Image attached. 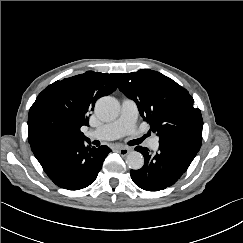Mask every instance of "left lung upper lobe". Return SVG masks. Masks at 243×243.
<instances>
[{
    "label": "left lung upper lobe",
    "mask_w": 243,
    "mask_h": 243,
    "mask_svg": "<svg viewBox=\"0 0 243 243\" xmlns=\"http://www.w3.org/2000/svg\"><path fill=\"white\" fill-rule=\"evenodd\" d=\"M119 89L136 102L159 143L184 135L202 137L201 111L188 91L169 77L150 69L124 73Z\"/></svg>",
    "instance_id": "5c2ea615"
}]
</instances>
